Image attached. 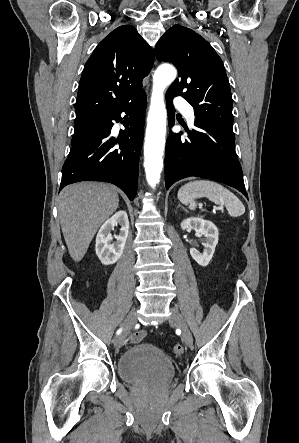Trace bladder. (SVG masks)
<instances>
[{
	"label": "bladder",
	"instance_id": "obj_1",
	"mask_svg": "<svg viewBox=\"0 0 299 443\" xmlns=\"http://www.w3.org/2000/svg\"><path fill=\"white\" fill-rule=\"evenodd\" d=\"M117 373L129 384H162L173 379L175 367L159 348L149 343H140L119 358Z\"/></svg>",
	"mask_w": 299,
	"mask_h": 443
}]
</instances>
